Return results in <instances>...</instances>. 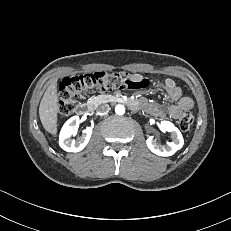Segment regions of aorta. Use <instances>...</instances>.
Returning <instances> with one entry per match:
<instances>
[{"instance_id": "obj_1", "label": "aorta", "mask_w": 231, "mask_h": 231, "mask_svg": "<svg viewBox=\"0 0 231 231\" xmlns=\"http://www.w3.org/2000/svg\"><path fill=\"white\" fill-rule=\"evenodd\" d=\"M115 113L117 115H123L125 113V107L123 105H121V104L116 105Z\"/></svg>"}]
</instances>
